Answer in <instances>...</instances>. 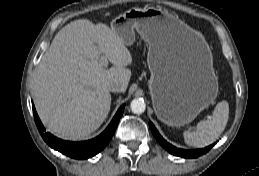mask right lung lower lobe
Wrapping results in <instances>:
<instances>
[{
  "instance_id": "right-lung-lower-lobe-1",
  "label": "right lung lower lobe",
  "mask_w": 259,
  "mask_h": 176,
  "mask_svg": "<svg viewBox=\"0 0 259 176\" xmlns=\"http://www.w3.org/2000/svg\"><path fill=\"white\" fill-rule=\"evenodd\" d=\"M32 108L35 123L44 141L55 150L75 159H87L103 150L112 138L124 111L123 105L119 108L107 129L98 137L84 142H69L61 140L50 133H45L34 105H32Z\"/></svg>"
}]
</instances>
